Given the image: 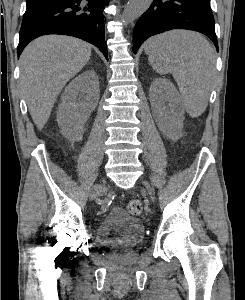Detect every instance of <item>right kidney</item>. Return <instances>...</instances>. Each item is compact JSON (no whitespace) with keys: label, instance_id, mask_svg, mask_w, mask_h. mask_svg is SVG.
I'll return each instance as SVG.
<instances>
[{"label":"right kidney","instance_id":"obj_1","mask_svg":"<svg viewBox=\"0 0 245 300\" xmlns=\"http://www.w3.org/2000/svg\"><path fill=\"white\" fill-rule=\"evenodd\" d=\"M99 96V79L94 70L81 73L69 83L57 111L62 135L76 141L82 139L83 126L97 107Z\"/></svg>","mask_w":245,"mask_h":300}]
</instances>
